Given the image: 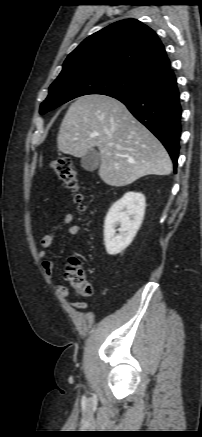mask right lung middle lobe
<instances>
[{"mask_svg":"<svg viewBox=\"0 0 202 437\" xmlns=\"http://www.w3.org/2000/svg\"><path fill=\"white\" fill-rule=\"evenodd\" d=\"M146 83L147 81L118 72L72 70L59 75L51 84L49 95L40 106V114L79 96L102 94L112 97L123 93H133Z\"/></svg>","mask_w":202,"mask_h":437,"instance_id":"dd1d6c3e","label":"right lung middle lobe"}]
</instances>
